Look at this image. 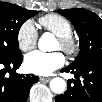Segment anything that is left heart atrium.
Here are the masks:
<instances>
[{"instance_id":"left-heart-atrium-1","label":"left heart atrium","mask_w":102,"mask_h":102,"mask_svg":"<svg viewBox=\"0 0 102 102\" xmlns=\"http://www.w3.org/2000/svg\"><path fill=\"white\" fill-rule=\"evenodd\" d=\"M65 57L60 52L43 53L33 51L26 56L25 64L29 72L45 76L62 67Z\"/></svg>"}]
</instances>
